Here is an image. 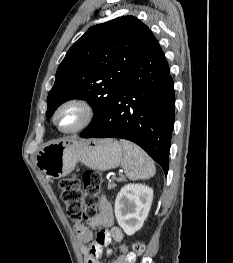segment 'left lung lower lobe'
<instances>
[{"label": "left lung lower lobe", "mask_w": 233, "mask_h": 263, "mask_svg": "<svg viewBox=\"0 0 233 263\" xmlns=\"http://www.w3.org/2000/svg\"><path fill=\"white\" fill-rule=\"evenodd\" d=\"M174 83L155 39L125 78L114 102L83 138H122L142 147L165 175L174 125Z\"/></svg>", "instance_id": "0a47b994"}]
</instances>
